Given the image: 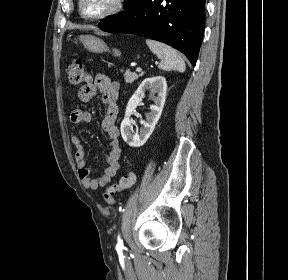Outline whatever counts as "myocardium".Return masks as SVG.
<instances>
[{
	"label": "myocardium",
	"mask_w": 288,
	"mask_h": 280,
	"mask_svg": "<svg viewBox=\"0 0 288 280\" xmlns=\"http://www.w3.org/2000/svg\"><path fill=\"white\" fill-rule=\"evenodd\" d=\"M85 1L86 0H78V12L80 16L85 20L97 21L105 19L120 12L123 9L126 0H112L111 5L107 9L95 15H88L85 13L84 11Z\"/></svg>",
	"instance_id": "myocardium-1"
}]
</instances>
